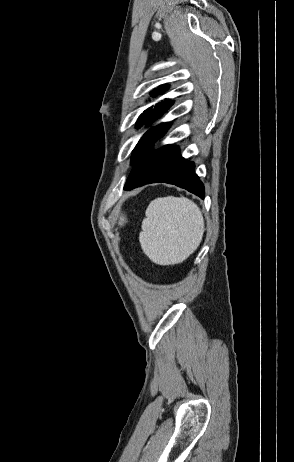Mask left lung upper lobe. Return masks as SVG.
Segmentation results:
<instances>
[{"mask_svg": "<svg viewBox=\"0 0 294 462\" xmlns=\"http://www.w3.org/2000/svg\"><path fill=\"white\" fill-rule=\"evenodd\" d=\"M165 88H168V85L165 84V85H162L158 88V91L157 90H154L152 92V95L153 96H156L158 94V92H164L165 91ZM173 102L172 101H167L166 103H159L157 104L155 107H166L168 105H171ZM152 111V108L150 107L149 109H147L146 111H144L143 114L140 115V117L138 118L137 122H136V127H141L144 122L146 121L147 117L146 115L148 116L149 113Z\"/></svg>", "mask_w": 294, "mask_h": 462, "instance_id": "1", "label": "left lung upper lobe"}]
</instances>
